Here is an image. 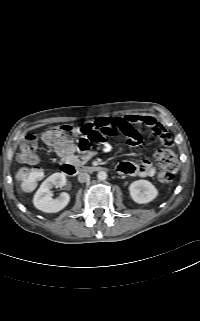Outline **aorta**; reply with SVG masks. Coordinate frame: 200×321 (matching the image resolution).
<instances>
[{"label": "aorta", "instance_id": "762f6f07", "mask_svg": "<svg viewBox=\"0 0 200 321\" xmlns=\"http://www.w3.org/2000/svg\"><path fill=\"white\" fill-rule=\"evenodd\" d=\"M97 177L100 181H104L107 179V173L105 171H100L98 172Z\"/></svg>", "mask_w": 200, "mask_h": 321}]
</instances>
